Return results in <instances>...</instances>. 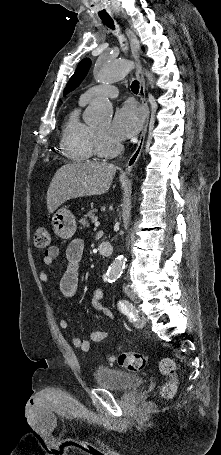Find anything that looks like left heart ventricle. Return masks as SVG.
<instances>
[{"instance_id":"1","label":"left heart ventricle","mask_w":221,"mask_h":455,"mask_svg":"<svg viewBox=\"0 0 221 455\" xmlns=\"http://www.w3.org/2000/svg\"><path fill=\"white\" fill-rule=\"evenodd\" d=\"M95 128L107 141H116L109 133L110 121H105L102 124L95 126Z\"/></svg>"}]
</instances>
